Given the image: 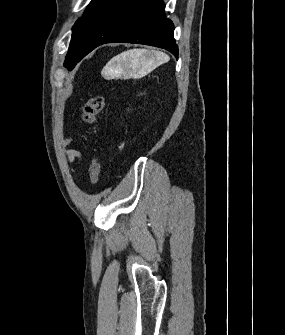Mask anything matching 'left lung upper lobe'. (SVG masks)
Masks as SVG:
<instances>
[{"label": "left lung upper lobe", "instance_id": "1", "mask_svg": "<svg viewBox=\"0 0 285 335\" xmlns=\"http://www.w3.org/2000/svg\"><path fill=\"white\" fill-rule=\"evenodd\" d=\"M111 0H92L83 16L74 24L72 39L64 66L71 70L80 61L82 41L98 14Z\"/></svg>", "mask_w": 285, "mask_h": 335}]
</instances>
